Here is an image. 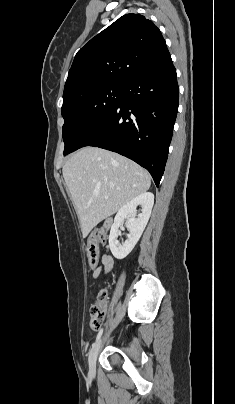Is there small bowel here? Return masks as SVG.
<instances>
[{
	"mask_svg": "<svg viewBox=\"0 0 235 404\" xmlns=\"http://www.w3.org/2000/svg\"><path fill=\"white\" fill-rule=\"evenodd\" d=\"M112 266H113V260H112L111 256L104 255L102 257V266L96 268L93 271V277L97 278L101 274L102 271L109 272L111 270Z\"/></svg>",
	"mask_w": 235,
	"mask_h": 404,
	"instance_id": "c3829d8e",
	"label": "small bowel"
}]
</instances>
